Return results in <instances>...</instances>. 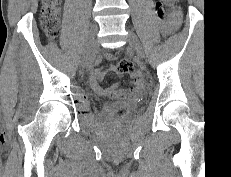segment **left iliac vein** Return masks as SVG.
<instances>
[{
	"label": "left iliac vein",
	"instance_id": "left-iliac-vein-1",
	"mask_svg": "<svg viewBox=\"0 0 231 177\" xmlns=\"http://www.w3.org/2000/svg\"><path fill=\"white\" fill-rule=\"evenodd\" d=\"M128 31H129V36H128L129 45L135 50L138 57L140 59H142L143 58V49H142V46L140 44V41L138 40L136 35L131 30H128Z\"/></svg>",
	"mask_w": 231,
	"mask_h": 177
}]
</instances>
